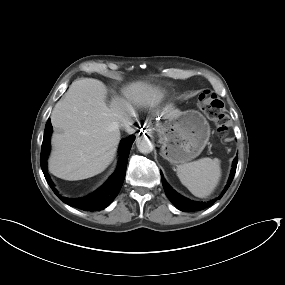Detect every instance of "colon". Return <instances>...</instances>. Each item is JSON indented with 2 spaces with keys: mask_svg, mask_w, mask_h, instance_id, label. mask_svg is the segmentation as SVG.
<instances>
[{
  "mask_svg": "<svg viewBox=\"0 0 285 285\" xmlns=\"http://www.w3.org/2000/svg\"><path fill=\"white\" fill-rule=\"evenodd\" d=\"M199 100L207 117L215 122L218 131H222L225 119L222 112L223 102L217 98H212L209 92L201 94Z\"/></svg>",
  "mask_w": 285,
  "mask_h": 285,
  "instance_id": "obj_1",
  "label": "colon"
}]
</instances>
